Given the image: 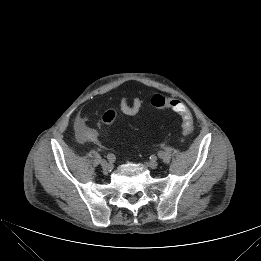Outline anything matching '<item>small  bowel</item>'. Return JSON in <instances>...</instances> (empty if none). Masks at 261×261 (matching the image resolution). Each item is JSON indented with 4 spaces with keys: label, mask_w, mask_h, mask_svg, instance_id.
I'll list each match as a JSON object with an SVG mask.
<instances>
[{
    "label": "small bowel",
    "mask_w": 261,
    "mask_h": 261,
    "mask_svg": "<svg viewBox=\"0 0 261 261\" xmlns=\"http://www.w3.org/2000/svg\"><path fill=\"white\" fill-rule=\"evenodd\" d=\"M142 100L139 97L129 101L126 97H123L120 102V110L122 113L128 116L136 115L141 108ZM102 119H99L98 124H101ZM74 130L79 142H93L99 143L100 132L98 129L90 128L87 125V119L84 115L77 116L74 123Z\"/></svg>",
    "instance_id": "obj_1"
}]
</instances>
